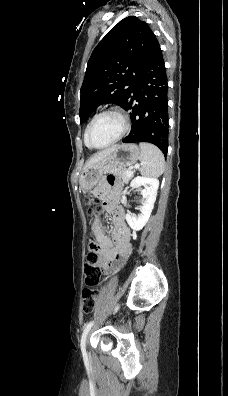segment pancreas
<instances>
[{"instance_id":"obj_1","label":"pancreas","mask_w":228,"mask_h":396,"mask_svg":"<svg viewBox=\"0 0 228 396\" xmlns=\"http://www.w3.org/2000/svg\"><path fill=\"white\" fill-rule=\"evenodd\" d=\"M130 170L123 167H114L111 172L120 176L124 183L128 184L130 179L133 177V173L131 175L128 174Z\"/></svg>"}]
</instances>
